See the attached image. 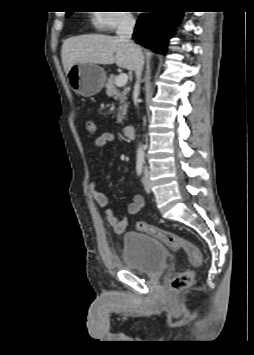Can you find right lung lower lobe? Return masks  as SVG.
<instances>
[{
  "mask_svg": "<svg viewBox=\"0 0 254 355\" xmlns=\"http://www.w3.org/2000/svg\"><path fill=\"white\" fill-rule=\"evenodd\" d=\"M182 16V11L173 9H158L141 14L134 30V40L156 52L165 53L168 40L175 33V26Z\"/></svg>",
  "mask_w": 254,
  "mask_h": 355,
  "instance_id": "98d812e1",
  "label": "right lung lower lobe"
}]
</instances>
